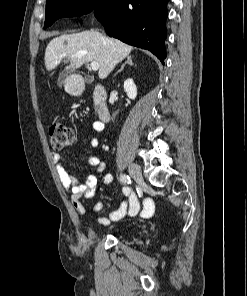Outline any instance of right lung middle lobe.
Returning <instances> with one entry per match:
<instances>
[{"label": "right lung middle lobe", "mask_w": 247, "mask_h": 296, "mask_svg": "<svg viewBox=\"0 0 247 296\" xmlns=\"http://www.w3.org/2000/svg\"><path fill=\"white\" fill-rule=\"evenodd\" d=\"M112 0H47L45 27H49L60 17L80 16L94 11H105Z\"/></svg>", "instance_id": "dd1d6c3e"}]
</instances>
